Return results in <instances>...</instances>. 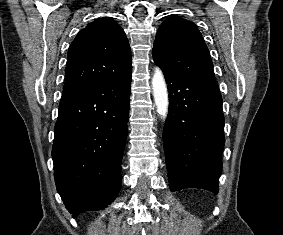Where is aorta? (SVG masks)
I'll return each instance as SVG.
<instances>
[{
	"instance_id": "obj_1",
	"label": "aorta",
	"mask_w": 283,
	"mask_h": 235,
	"mask_svg": "<svg viewBox=\"0 0 283 235\" xmlns=\"http://www.w3.org/2000/svg\"><path fill=\"white\" fill-rule=\"evenodd\" d=\"M152 92L157 109L161 118L165 119L168 114L169 99L164 75L160 68L156 67L152 77Z\"/></svg>"
}]
</instances>
